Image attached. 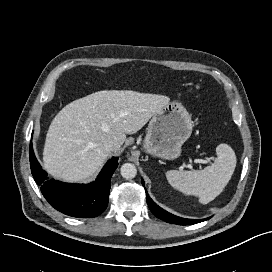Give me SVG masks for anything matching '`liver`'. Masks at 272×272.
<instances>
[{
  "mask_svg": "<svg viewBox=\"0 0 272 272\" xmlns=\"http://www.w3.org/2000/svg\"><path fill=\"white\" fill-rule=\"evenodd\" d=\"M169 100L164 95L103 90L69 103L49 126L45 170L66 182L87 180L111 154L104 146L107 140L121 147L126 134L139 131Z\"/></svg>",
  "mask_w": 272,
  "mask_h": 272,
  "instance_id": "liver-1",
  "label": "liver"
}]
</instances>
